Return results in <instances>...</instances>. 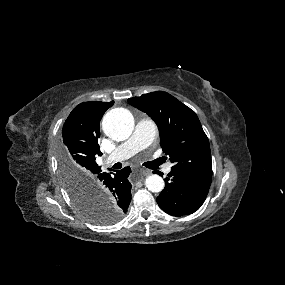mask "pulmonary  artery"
<instances>
[{
	"label": "pulmonary artery",
	"instance_id": "1",
	"mask_svg": "<svg viewBox=\"0 0 285 285\" xmlns=\"http://www.w3.org/2000/svg\"><path fill=\"white\" fill-rule=\"evenodd\" d=\"M156 136V127L149 118L140 119L134 129L132 136L104 159L106 164L123 161L139 151L147 148ZM171 171V164L165 166V172Z\"/></svg>",
	"mask_w": 285,
	"mask_h": 285
}]
</instances>
